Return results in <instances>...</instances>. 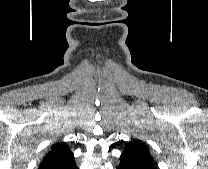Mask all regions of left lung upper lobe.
Here are the masks:
<instances>
[{
	"instance_id": "5c2ea615",
	"label": "left lung upper lobe",
	"mask_w": 208,
	"mask_h": 169,
	"mask_svg": "<svg viewBox=\"0 0 208 169\" xmlns=\"http://www.w3.org/2000/svg\"><path fill=\"white\" fill-rule=\"evenodd\" d=\"M126 149H129V150H132V151L136 152L137 154L144 157L146 162L155 166V161H154L153 157L151 156V154H150L149 150L147 149L146 145L143 144L142 142L134 139V140L130 141L125 146L124 150H126Z\"/></svg>"
}]
</instances>
